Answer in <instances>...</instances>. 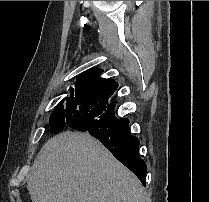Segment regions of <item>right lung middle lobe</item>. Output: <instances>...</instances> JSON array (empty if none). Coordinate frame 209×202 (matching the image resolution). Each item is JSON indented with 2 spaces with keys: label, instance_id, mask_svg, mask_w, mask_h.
Here are the masks:
<instances>
[{
  "label": "right lung middle lobe",
  "instance_id": "right-lung-middle-lobe-1",
  "mask_svg": "<svg viewBox=\"0 0 209 202\" xmlns=\"http://www.w3.org/2000/svg\"><path fill=\"white\" fill-rule=\"evenodd\" d=\"M93 78L89 75H79L76 80L75 92L72 90L68 98L63 99L50 116V132H60L66 120L75 116L80 109V92L82 88L90 83Z\"/></svg>",
  "mask_w": 209,
  "mask_h": 202
}]
</instances>
